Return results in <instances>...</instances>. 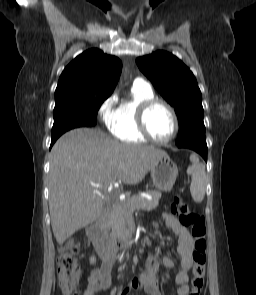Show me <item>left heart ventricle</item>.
Masks as SVG:
<instances>
[{
    "mask_svg": "<svg viewBox=\"0 0 256 295\" xmlns=\"http://www.w3.org/2000/svg\"><path fill=\"white\" fill-rule=\"evenodd\" d=\"M150 132L158 139L168 138L174 129V122L170 112L161 105L153 107L147 116Z\"/></svg>",
    "mask_w": 256,
    "mask_h": 295,
    "instance_id": "left-heart-ventricle-1",
    "label": "left heart ventricle"
}]
</instances>
